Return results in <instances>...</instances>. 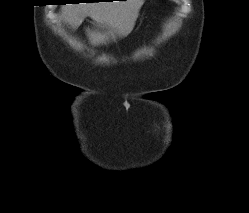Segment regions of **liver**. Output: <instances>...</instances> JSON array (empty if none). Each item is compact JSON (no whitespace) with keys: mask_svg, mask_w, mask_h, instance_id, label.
I'll return each mask as SVG.
<instances>
[{"mask_svg":"<svg viewBox=\"0 0 249 213\" xmlns=\"http://www.w3.org/2000/svg\"><path fill=\"white\" fill-rule=\"evenodd\" d=\"M144 2L127 0L69 4L62 7V15L64 21L75 29L89 16L99 28L105 29H87L90 40L93 44H103L131 33Z\"/></svg>","mask_w":249,"mask_h":213,"instance_id":"liver-1","label":"liver"}]
</instances>
